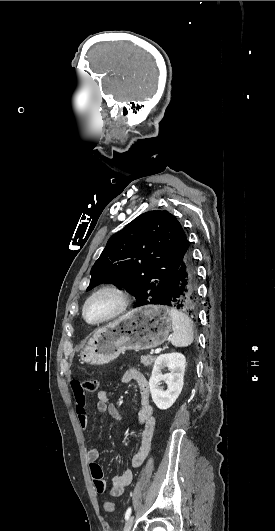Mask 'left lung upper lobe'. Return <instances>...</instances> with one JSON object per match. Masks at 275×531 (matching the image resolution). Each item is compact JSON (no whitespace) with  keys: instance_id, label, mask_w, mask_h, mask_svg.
I'll return each instance as SVG.
<instances>
[{"instance_id":"5c2ea615","label":"left lung upper lobe","mask_w":275,"mask_h":531,"mask_svg":"<svg viewBox=\"0 0 275 531\" xmlns=\"http://www.w3.org/2000/svg\"><path fill=\"white\" fill-rule=\"evenodd\" d=\"M188 247L185 232L171 213H142L108 240L91 269L87 291L101 283H115L136 298L134 307L159 304Z\"/></svg>"}]
</instances>
